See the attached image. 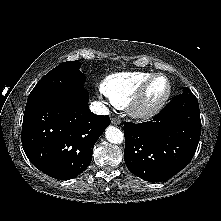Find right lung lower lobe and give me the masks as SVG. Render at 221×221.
<instances>
[{
    "instance_id": "obj_1",
    "label": "right lung lower lobe",
    "mask_w": 221,
    "mask_h": 221,
    "mask_svg": "<svg viewBox=\"0 0 221 221\" xmlns=\"http://www.w3.org/2000/svg\"><path fill=\"white\" fill-rule=\"evenodd\" d=\"M88 100L82 87L26 104L21 141L28 159L39 170L69 179L89 166L93 147L110 118L93 114Z\"/></svg>"
}]
</instances>
